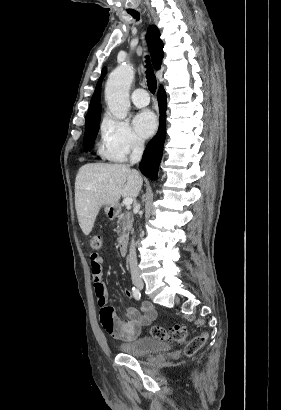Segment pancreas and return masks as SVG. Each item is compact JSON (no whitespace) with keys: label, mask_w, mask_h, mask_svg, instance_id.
<instances>
[{"label":"pancreas","mask_w":281,"mask_h":410,"mask_svg":"<svg viewBox=\"0 0 281 410\" xmlns=\"http://www.w3.org/2000/svg\"><path fill=\"white\" fill-rule=\"evenodd\" d=\"M133 217L129 212H122L121 207L117 209V234L119 236L118 242H121L124 238L128 237V234L132 228Z\"/></svg>","instance_id":"cf45deb5"}]
</instances>
